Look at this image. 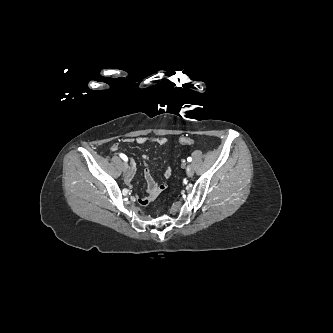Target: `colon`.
I'll list each match as a JSON object with an SVG mask.
<instances>
[{
	"mask_svg": "<svg viewBox=\"0 0 333 333\" xmlns=\"http://www.w3.org/2000/svg\"><path fill=\"white\" fill-rule=\"evenodd\" d=\"M179 142L182 145H192L194 143V140L189 137H181L179 139Z\"/></svg>",
	"mask_w": 333,
	"mask_h": 333,
	"instance_id": "5ec220e1",
	"label": "colon"
}]
</instances>
